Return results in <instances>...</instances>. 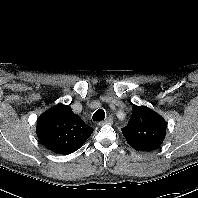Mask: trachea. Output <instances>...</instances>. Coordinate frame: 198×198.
Returning a JSON list of instances; mask_svg holds the SVG:
<instances>
[{
    "label": "trachea",
    "mask_w": 198,
    "mask_h": 198,
    "mask_svg": "<svg viewBox=\"0 0 198 198\" xmlns=\"http://www.w3.org/2000/svg\"><path fill=\"white\" fill-rule=\"evenodd\" d=\"M105 118V112L103 109H98L94 114H93V121H101L104 120Z\"/></svg>",
    "instance_id": "1"
}]
</instances>
